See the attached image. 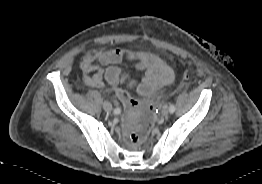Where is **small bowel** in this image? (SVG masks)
<instances>
[{"label": "small bowel", "instance_id": "obj_1", "mask_svg": "<svg viewBox=\"0 0 262 184\" xmlns=\"http://www.w3.org/2000/svg\"><path fill=\"white\" fill-rule=\"evenodd\" d=\"M125 60L134 62L136 69L142 73L140 81L118 66ZM81 69L84 83L88 86L102 87L104 80L112 86L127 84L142 96L151 95L174 79L172 68L165 65L157 55L121 49H99L85 54L81 60Z\"/></svg>", "mask_w": 262, "mask_h": 184}]
</instances>
